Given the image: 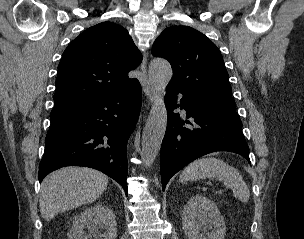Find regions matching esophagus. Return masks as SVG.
<instances>
[{
  "label": "esophagus",
  "instance_id": "1",
  "mask_svg": "<svg viewBox=\"0 0 304 239\" xmlns=\"http://www.w3.org/2000/svg\"><path fill=\"white\" fill-rule=\"evenodd\" d=\"M141 71H142V74L144 77L143 91L145 93V96L149 100V102L151 104H154L157 92H156V88L151 84V82L149 81V79L147 77V54H146V52L143 55V60L141 63Z\"/></svg>",
  "mask_w": 304,
  "mask_h": 239
}]
</instances>
